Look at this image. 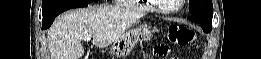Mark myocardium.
I'll return each mask as SVG.
<instances>
[{
    "label": "myocardium",
    "instance_id": "1",
    "mask_svg": "<svg viewBox=\"0 0 261 59\" xmlns=\"http://www.w3.org/2000/svg\"><path fill=\"white\" fill-rule=\"evenodd\" d=\"M184 1L185 0H180L178 6L175 8H172V9L158 7L157 4L155 3V1H153V0H150L149 2L151 3V5L154 7V9L156 11H158L160 13L168 14V13H174V12L179 11L183 6Z\"/></svg>",
    "mask_w": 261,
    "mask_h": 59
}]
</instances>
